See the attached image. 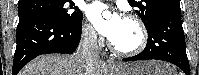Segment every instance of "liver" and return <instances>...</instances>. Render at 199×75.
Segmentation results:
<instances>
[{"mask_svg": "<svg viewBox=\"0 0 199 75\" xmlns=\"http://www.w3.org/2000/svg\"><path fill=\"white\" fill-rule=\"evenodd\" d=\"M86 62L74 55H41L29 62L19 75H85ZM174 73V72H173ZM92 75H109V69L102 61L95 62Z\"/></svg>", "mask_w": 199, "mask_h": 75, "instance_id": "obj_1", "label": "liver"}]
</instances>
